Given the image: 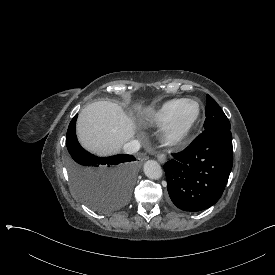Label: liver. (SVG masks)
<instances>
[{
  "mask_svg": "<svg viewBox=\"0 0 275 275\" xmlns=\"http://www.w3.org/2000/svg\"><path fill=\"white\" fill-rule=\"evenodd\" d=\"M76 129L81 145L100 156L119 153L135 134L134 123L122 107L109 101L94 102L82 109Z\"/></svg>",
  "mask_w": 275,
  "mask_h": 275,
  "instance_id": "obj_1",
  "label": "liver"
}]
</instances>
